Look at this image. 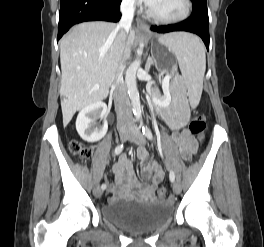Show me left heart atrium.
Wrapping results in <instances>:
<instances>
[{
  "label": "left heart atrium",
  "mask_w": 264,
  "mask_h": 247,
  "mask_svg": "<svg viewBox=\"0 0 264 247\" xmlns=\"http://www.w3.org/2000/svg\"><path fill=\"white\" fill-rule=\"evenodd\" d=\"M147 5L154 6L157 0H143Z\"/></svg>",
  "instance_id": "1"
}]
</instances>
